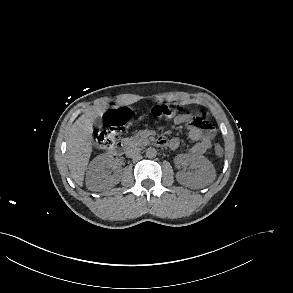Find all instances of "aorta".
I'll return each mask as SVG.
<instances>
[{
    "mask_svg": "<svg viewBox=\"0 0 293 293\" xmlns=\"http://www.w3.org/2000/svg\"><path fill=\"white\" fill-rule=\"evenodd\" d=\"M157 155V150L154 147H149L146 149V156L148 158H155Z\"/></svg>",
    "mask_w": 293,
    "mask_h": 293,
    "instance_id": "obj_1",
    "label": "aorta"
}]
</instances>
